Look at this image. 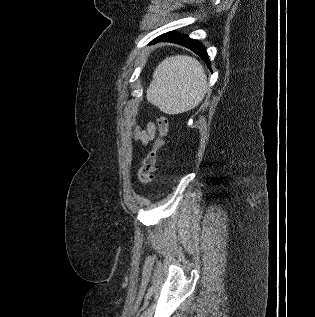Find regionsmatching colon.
Wrapping results in <instances>:
<instances>
[{
    "label": "colon",
    "instance_id": "1",
    "mask_svg": "<svg viewBox=\"0 0 315 317\" xmlns=\"http://www.w3.org/2000/svg\"><path fill=\"white\" fill-rule=\"evenodd\" d=\"M168 125V118L165 115H161L158 119V137L154 141L152 149L145 157L138 171V181L142 185L150 183L153 179L158 154L164 144V139L168 132Z\"/></svg>",
    "mask_w": 315,
    "mask_h": 317
}]
</instances>
